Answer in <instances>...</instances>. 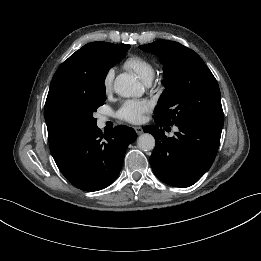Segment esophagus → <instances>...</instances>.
Instances as JSON below:
<instances>
[{"instance_id":"esophagus-1","label":"esophagus","mask_w":261,"mask_h":261,"mask_svg":"<svg viewBox=\"0 0 261 261\" xmlns=\"http://www.w3.org/2000/svg\"><path fill=\"white\" fill-rule=\"evenodd\" d=\"M134 129H135V131H136V133H137L138 135H140V134L143 133V128L140 127V126H136Z\"/></svg>"}]
</instances>
